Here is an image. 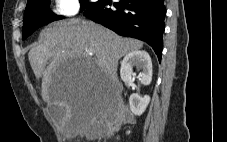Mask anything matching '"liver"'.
<instances>
[{"instance_id":"6515ba94","label":"liver","mask_w":227,"mask_h":142,"mask_svg":"<svg viewBox=\"0 0 227 142\" xmlns=\"http://www.w3.org/2000/svg\"><path fill=\"white\" fill-rule=\"evenodd\" d=\"M40 37V43L29 51V62L36 78H42L43 101L49 106L65 107L62 129L67 135L83 114V102L96 95L101 81L118 85V61L143 47L139 40L121 37L103 26L81 19L53 22L41 31ZM62 61H91L90 78H80L88 80L86 88H69L67 81L54 78L60 68H67L62 66Z\"/></svg>"}]
</instances>
